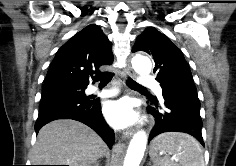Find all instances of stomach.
Here are the masks:
<instances>
[{"label":"stomach","mask_w":236,"mask_h":166,"mask_svg":"<svg viewBox=\"0 0 236 166\" xmlns=\"http://www.w3.org/2000/svg\"><path fill=\"white\" fill-rule=\"evenodd\" d=\"M153 153H154V149H153V145L151 144V147H150V157H151L152 161L155 164L154 166H158Z\"/></svg>","instance_id":"0dacf381"}]
</instances>
